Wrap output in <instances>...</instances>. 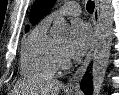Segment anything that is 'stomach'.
<instances>
[{
    "instance_id": "1",
    "label": "stomach",
    "mask_w": 119,
    "mask_h": 95,
    "mask_svg": "<svg viewBox=\"0 0 119 95\" xmlns=\"http://www.w3.org/2000/svg\"><path fill=\"white\" fill-rule=\"evenodd\" d=\"M66 95H73L71 92H67V94Z\"/></svg>"
}]
</instances>
